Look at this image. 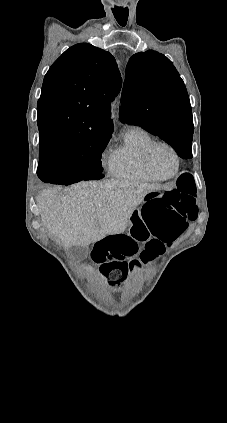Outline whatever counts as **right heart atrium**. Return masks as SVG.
<instances>
[{
    "instance_id": "d8ad5b80",
    "label": "right heart atrium",
    "mask_w": 227,
    "mask_h": 423,
    "mask_svg": "<svg viewBox=\"0 0 227 423\" xmlns=\"http://www.w3.org/2000/svg\"><path fill=\"white\" fill-rule=\"evenodd\" d=\"M108 162H110V161H108L107 156H106V153H103V154H102V157H101V164L104 166V165H106Z\"/></svg>"
}]
</instances>
